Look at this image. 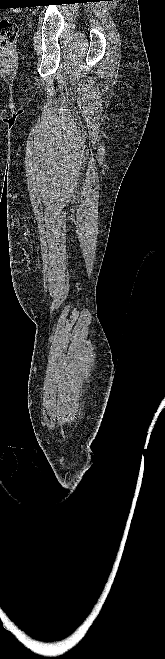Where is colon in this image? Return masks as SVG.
Listing matches in <instances>:
<instances>
[{
	"instance_id": "1",
	"label": "colon",
	"mask_w": 165,
	"mask_h": 659,
	"mask_svg": "<svg viewBox=\"0 0 165 659\" xmlns=\"http://www.w3.org/2000/svg\"><path fill=\"white\" fill-rule=\"evenodd\" d=\"M18 26L10 20L0 21V48L10 49L15 43Z\"/></svg>"
}]
</instances>
